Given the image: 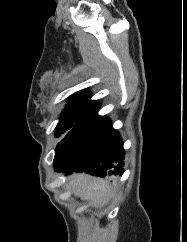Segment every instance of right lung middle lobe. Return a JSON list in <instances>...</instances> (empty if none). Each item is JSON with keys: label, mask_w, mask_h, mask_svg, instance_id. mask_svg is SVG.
<instances>
[{"label": "right lung middle lobe", "mask_w": 187, "mask_h": 242, "mask_svg": "<svg viewBox=\"0 0 187 242\" xmlns=\"http://www.w3.org/2000/svg\"><path fill=\"white\" fill-rule=\"evenodd\" d=\"M98 109L91 106H68L59 118L55 136L58 138L92 123L100 117Z\"/></svg>", "instance_id": "right-lung-middle-lobe-1"}]
</instances>
